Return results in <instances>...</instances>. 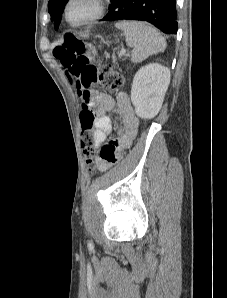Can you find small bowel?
<instances>
[{
	"label": "small bowel",
	"instance_id": "small-bowel-1",
	"mask_svg": "<svg viewBox=\"0 0 227 298\" xmlns=\"http://www.w3.org/2000/svg\"><path fill=\"white\" fill-rule=\"evenodd\" d=\"M96 104L97 119L93 125L94 149L100 148L93 156V163L100 170L116 167V162H122L120 154L129 148L138 132L139 120L134 113L131 101L126 93L119 92L115 97L107 93L93 92ZM107 113H113L117 120V135L107 144L103 145L113 130V119Z\"/></svg>",
	"mask_w": 227,
	"mask_h": 298
}]
</instances>
